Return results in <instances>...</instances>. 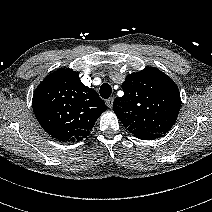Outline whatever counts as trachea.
I'll return each instance as SVG.
<instances>
[{"mask_svg":"<svg viewBox=\"0 0 212 212\" xmlns=\"http://www.w3.org/2000/svg\"><path fill=\"white\" fill-rule=\"evenodd\" d=\"M112 88L108 83H104L100 87V96L104 99H108L111 96Z\"/></svg>","mask_w":212,"mask_h":212,"instance_id":"trachea-1","label":"trachea"}]
</instances>
